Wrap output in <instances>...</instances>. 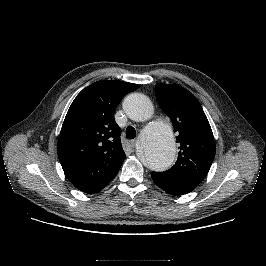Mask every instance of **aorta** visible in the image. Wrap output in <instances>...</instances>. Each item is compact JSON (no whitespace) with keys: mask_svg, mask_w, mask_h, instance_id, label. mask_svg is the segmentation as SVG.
<instances>
[{"mask_svg":"<svg viewBox=\"0 0 266 266\" xmlns=\"http://www.w3.org/2000/svg\"><path fill=\"white\" fill-rule=\"evenodd\" d=\"M123 107L128 117L136 122H144L153 114L151 101L139 93L128 95ZM175 156V138L170 125L154 122L142 131L141 157L151 170L168 169L174 163Z\"/></svg>","mask_w":266,"mask_h":266,"instance_id":"762f6f07","label":"aorta"}]
</instances>
